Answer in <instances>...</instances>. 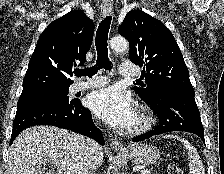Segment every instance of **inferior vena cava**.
Returning a JSON list of instances; mask_svg holds the SVG:
<instances>
[{
	"mask_svg": "<svg viewBox=\"0 0 224 174\" xmlns=\"http://www.w3.org/2000/svg\"><path fill=\"white\" fill-rule=\"evenodd\" d=\"M100 146L91 139H86L84 142V152H85V161L91 162V166L87 168H82L79 174H96L95 165L93 164L95 155L99 152Z\"/></svg>",
	"mask_w": 224,
	"mask_h": 174,
	"instance_id": "602c4592",
	"label": "inferior vena cava"
}]
</instances>
